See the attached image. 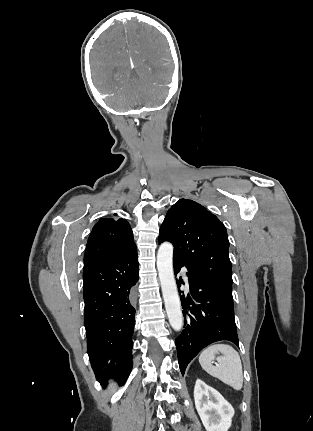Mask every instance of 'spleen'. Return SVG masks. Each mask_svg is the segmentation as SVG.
I'll list each match as a JSON object with an SVG mask.
<instances>
[{
	"instance_id": "1",
	"label": "spleen",
	"mask_w": 313,
	"mask_h": 431,
	"mask_svg": "<svg viewBox=\"0 0 313 431\" xmlns=\"http://www.w3.org/2000/svg\"><path fill=\"white\" fill-rule=\"evenodd\" d=\"M221 353L222 356L216 354ZM216 359L218 364L212 365ZM199 363L203 370L211 376L218 378L223 383L235 390L243 386V371L241 359L238 352L227 344H214L204 349L199 356Z\"/></svg>"
}]
</instances>
